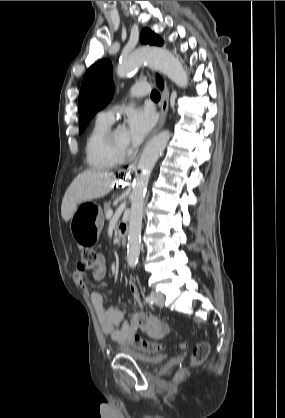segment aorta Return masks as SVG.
<instances>
[{"label":"aorta","instance_id":"obj_1","mask_svg":"<svg viewBox=\"0 0 285 418\" xmlns=\"http://www.w3.org/2000/svg\"><path fill=\"white\" fill-rule=\"evenodd\" d=\"M142 63H147L152 68L162 72L177 86L187 87L188 76L181 62L172 53L162 48H142L124 57L118 65L117 75L124 78ZM169 139V131H162L154 136L145 146L138 163L139 173L134 178L131 193L127 243V262L132 268L136 266L140 254L143 207L149 178Z\"/></svg>","mask_w":285,"mask_h":418}]
</instances>
